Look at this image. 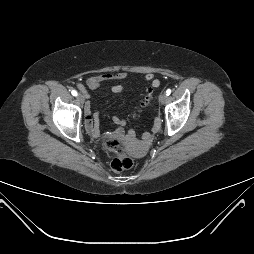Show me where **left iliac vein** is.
Returning <instances> with one entry per match:
<instances>
[{"instance_id":"left-iliac-vein-1","label":"left iliac vein","mask_w":254,"mask_h":254,"mask_svg":"<svg viewBox=\"0 0 254 254\" xmlns=\"http://www.w3.org/2000/svg\"><path fill=\"white\" fill-rule=\"evenodd\" d=\"M167 100H168L167 94L166 93L161 94V96H160V102L162 104H165L167 102Z\"/></svg>"}]
</instances>
